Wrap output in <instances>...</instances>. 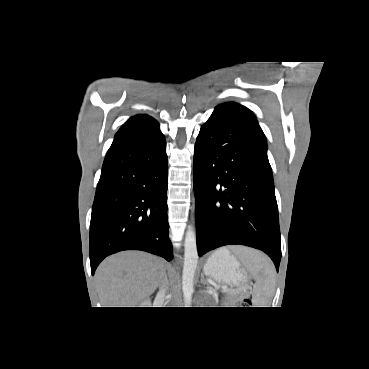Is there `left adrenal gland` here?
<instances>
[{
  "mask_svg": "<svg viewBox=\"0 0 369 369\" xmlns=\"http://www.w3.org/2000/svg\"><path fill=\"white\" fill-rule=\"evenodd\" d=\"M201 283H202V284H204V285H207L208 287L210 286V285L208 284V282L205 280V278H204V275H203V274H201Z\"/></svg>",
  "mask_w": 369,
  "mask_h": 369,
  "instance_id": "a2214340",
  "label": "left adrenal gland"
}]
</instances>
